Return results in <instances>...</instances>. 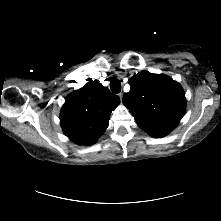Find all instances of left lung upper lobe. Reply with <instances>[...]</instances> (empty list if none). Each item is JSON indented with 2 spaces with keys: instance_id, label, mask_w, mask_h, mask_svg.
Segmentation results:
<instances>
[{
  "instance_id": "5c2ea615",
  "label": "left lung upper lobe",
  "mask_w": 221,
  "mask_h": 221,
  "mask_svg": "<svg viewBox=\"0 0 221 221\" xmlns=\"http://www.w3.org/2000/svg\"><path fill=\"white\" fill-rule=\"evenodd\" d=\"M123 96L138 126L153 137L171 132L184 115L185 94L179 83L163 74L140 72L129 81Z\"/></svg>"
}]
</instances>
